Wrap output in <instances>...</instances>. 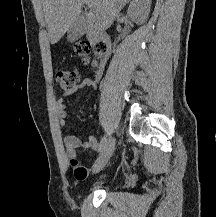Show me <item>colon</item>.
I'll list each match as a JSON object with an SVG mask.
<instances>
[{
    "label": "colon",
    "instance_id": "obj_1",
    "mask_svg": "<svg viewBox=\"0 0 216 217\" xmlns=\"http://www.w3.org/2000/svg\"><path fill=\"white\" fill-rule=\"evenodd\" d=\"M105 50L106 46L102 43L90 44L88 42H80L75 45V52L77 55L81 56L86 63L90 62L91 53H100ZM55 78L62 89L68 91L76 87L80 79V73L77 69L59 68L56 70ZM71 163L74 168V175L79 176L81 170L78 168V163L76 161H71Z\"/></svg>",
    "mask_w": 216,
    "mask_h": 217
}]
</instances>
